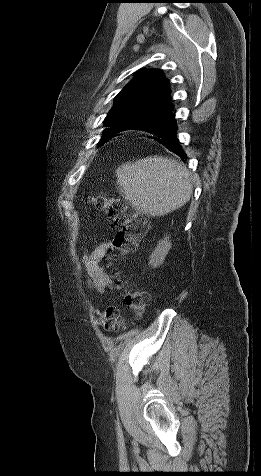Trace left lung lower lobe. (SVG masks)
<instances>
[{
  "label": "left lung lower lobe",
  "instance_id": "left-lung-lower-lobe-1",
  "mask_svg": "<svg viewBox=\"0 0 261 476\" xmlns=\"http://www.w3.org/2000/svg\"><path fill=\"white\" fill-rule=\"evenodd\" d=\"M131 129L143 130L153 134V136H150L149 138L162 144L169 151L177 154L181 158L187 159V156L180 147L178 138L176 137L177 125L172 110L161 114L159 117L156 116L154 118L133 121L126 126L110 130L99 142V145L109 138H112L116 133Z\"/></svg>",
  "mask_w": 261,
  "mask_h": 476
}]
</instances>
